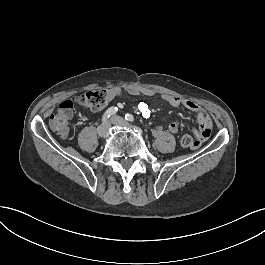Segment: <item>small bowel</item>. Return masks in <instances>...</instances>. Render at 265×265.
<instances>
[{
	"label": "small bowel",
	"mask_w": 265,
	"mask_h": 265,
	"mask_svg": "<svg viewBox=\"0 0 265 265\" xmlns=\"http://www.w3.org/2000/svg\"><path fill=\"white\" fill-rule=\"evenodd\" d=\"M154 95H156L155 90L136 85H129L124 87L112 86L108 90L109 100H113L114 98L122 96L151 97ZM161 97L163 101L174 108L185 109L196 114L197 128L194 130L196 141H194L192 147L195 150L200 149L202 146L201 142L208 139L211 134L212 123L208 112L198 103L190 99L168 94H163ZM167 128L168 131L172 134H177L179 131V125L175 121H170Z\"/></svg>",
	"instance_id": "obj_1"
}]
</instances>
